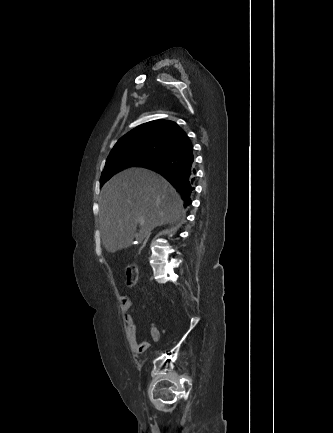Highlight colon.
Here are the masks:
<instances>
[{
	"instance_id": "5ec220e1",
	"label": "colon",
	"mask_w": 333,
	"mask_h": 433,
	"mask_svg": "<svg viewBox=\"0 0 333 433\" xmlns=\"http://www.w3.org/2000/svg\"><path fill=\"white\" fill-rule=\"evenodd\" d=\"M139 277L138 267L135 264L126 266V279L127 284L133 286L137 283Z\"/></svg>"
}]
</instances>
